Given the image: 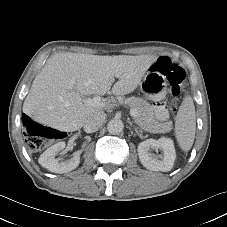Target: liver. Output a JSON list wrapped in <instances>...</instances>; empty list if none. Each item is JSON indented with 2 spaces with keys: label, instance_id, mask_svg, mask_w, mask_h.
<instances>
[{
  "label": "liver",
  "instance_id": "obj_1",
  "mask_svg": "<svg viewBox=\"0 0 227 227\" xmlns=\"http://www.w3.org/2000/svg\"><path fill=\"white\" fill-rule=\"evenodd\" d=\"M157 60L149 55L99 56L64 52L51 56L35 77L23 103V112L59 131L80 130L85 120L107 105L90 106L86 97L104 95L112 86L115 96L133 92Z\"/></svg>",
  "mask_w": 227,
  "mask_h": 227
}]
</instances>
